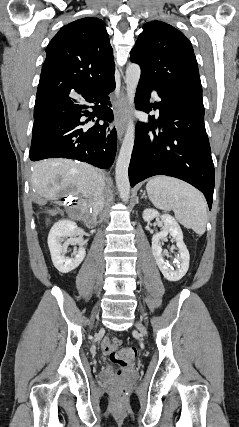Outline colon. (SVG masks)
Masks as SVG:
<instances>
[{
	"label": "colon",
	"instance_id": "5ec220e1",
	"mask_svg": "<svg viewBox=\"0 0 239 427\" xmlns=\"http://www.w3.org/2000/svg\"><path fill=\"white\" fill-rule=\"evenodd\" d=\"M138 350L136 347H124L113 351L110 354V360L116 368L117 374H120L125 368L132 365L137 357ZM126 395V389L122 384H118L113 389V396L116 400H122Z\"/></svg>",
	"mask_w": 239,
	"mask_h": 427
}]
</instances>
